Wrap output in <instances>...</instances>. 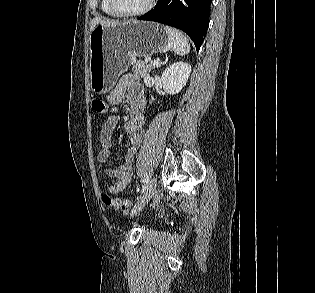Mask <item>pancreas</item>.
<instances>
[{"mask_svg": "<svg viewBox=\"0 0 315 293\" xmlns=\"http://www.w3.org/2000/svg\"><path fill=\"white\" fill-rule=\"evenodd\" d=\"M130 64L133 67L134 76L136 79L146 77L149 74L150 70L155 68L153 64L149 61H142L134 58L130 60Z\"/></svg>", "mask_w": 315, "mask_h": 293, "instance_id": "obj_1", "label": "pancreas"}]
</instances>
